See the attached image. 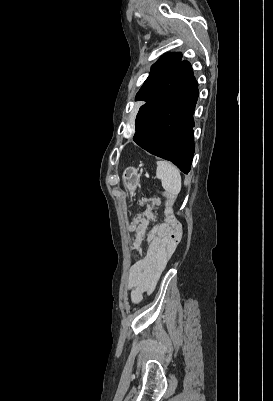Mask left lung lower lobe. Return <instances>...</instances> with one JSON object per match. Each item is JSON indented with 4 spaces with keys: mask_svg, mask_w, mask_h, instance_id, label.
I'll list each match as a JSON object with an SVG mask.
<instances>
[{
    "mask_svg": "<svg viewBox=\"0 0 273 401\" xmlns=\"http://www.w3.org/2000/svg\"><path fill=\"white\" fill-rule=\"evenodd\" d=\"M198 83L188 61L174 71L169 86L139 109L133 140L143 149L190 171L194 154V110Z\"/></svg>",
    "mask_w": 273,
    "mask_h": 401,
    "instance_id": "0a47b994",
    "label": "left lung lower lobe"
}]
</instances>
